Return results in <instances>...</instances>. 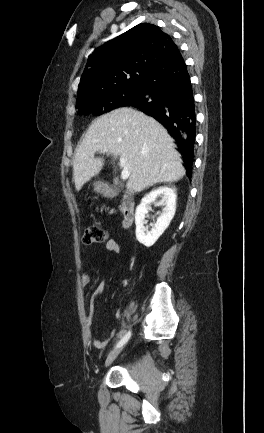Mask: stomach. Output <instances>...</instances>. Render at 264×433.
<instances>
[{"label":"stomach","instance_id":"0dacf381","mask_svg":"<svg viewBox=\"0 0 264 433\" xmlns=\"http://www.w3.org/2000/svg\"><path fill=\"white\" fill-rule=\"evenodd\" d=\"M102 189H103V185L101 183H99V182L94 183V190L96 192H101Z\"/></svg>","mask_w":264,"mask_h":433}]
</instances>
